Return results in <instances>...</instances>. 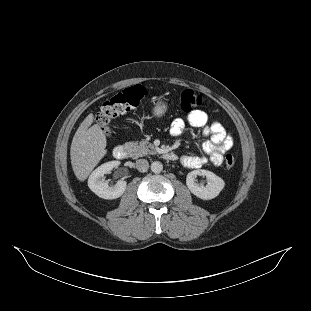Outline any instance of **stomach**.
<instances>
[{
  "mask_svg": "<svg viewBox=\"0 0 311 311\" xmlns=\"http://www.w3.org/2000/svg\"><path fill=\"white\" fill-rule=\"evenodd\" d=\"M168 109L167 105V99H158L157 101L154 102V108H153V115L155 117H162Z\"/></svg>",
  "mask_w": 311,
  "mask_h": 311,
  "instance_id": "1",
  "label": "stomach"
}]
</instances>
